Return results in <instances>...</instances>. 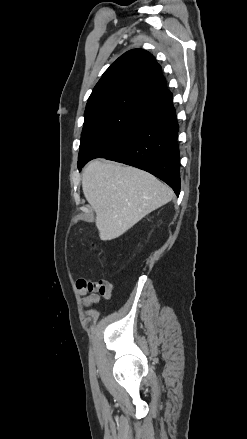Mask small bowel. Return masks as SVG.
Returning <instances> with one entry per match:
<instances>
[{
  "label": "small bowel",
  "instance_id": "1",
  "mask_svg": "<svg viewBox=\"0 0 247 439\" xmlns=\"http://www.w3.org/2000/svg\"><path fill=\"white\" fill-rule=\"evenodd\" d=\"M77 290L82 295V304L92 308L101 302V298L110 299L113 294V284L106 280L93 281L91 279H78Z\"/></svg>",
  "mask_w": 247,
  "mask_h": 439
}]
</instances>
